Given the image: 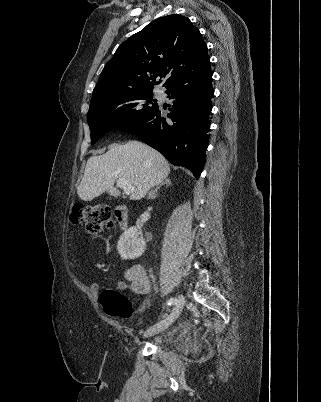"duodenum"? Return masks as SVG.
<instances>
[{
	"mask_svg": "<svg viewBox=\"0 0 321 402\" xmlns=\"http://www.w3.org/2000/svg\"><path fill=\"white\" fill-rule=\"evenodd\" d=\"M115 219L121 229H125L128 225V210L125 207H120L115 210Z\"/></svg>",
	"mask_w": 321,
	"mask_h": 402,
	"instance_id": "1",
	"label": "duodenum"
}]
</instances>
